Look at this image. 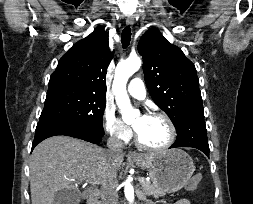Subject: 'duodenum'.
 Returning <instances> with one entry per match:
<instances>
[{"label": "duodenum", "mask_w": 253, "mask_h": 204, "mask_svg": "<svg viewBox=\"0 0 253 204\" xmlns=\"http://www.w3.org/2000/svg\"><path fill=\"white\" fill-rule=\"evenodd\" d=\"M100 197V192L98 190H93L87 197L86 204H98V199Z\"/></svg>", "instance_id": "1"}]
</instances>
